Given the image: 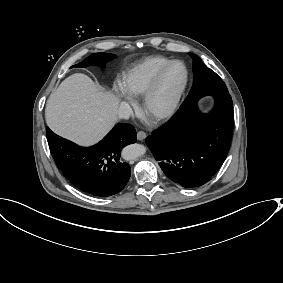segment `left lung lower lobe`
<instances>
[{
    "label": "left lung lower lobe",
    "instance_id": "obj_1",
    "mask_svg": "<svg viewBox=\"0 0 283 283\" xmlns=\"http://www.w3.org/2000/svg\"><path fill=\"white\" fill-rule=\"evenodd\" d=\"M215 107L203 114L197 102L180 107L162 127L146 138L165 175L186 188L208 182L225 161L234 126L229 94H214Z\"/></svg>",
    "mask_w": 283,
    "mask_h": 283
}]
</instances>
